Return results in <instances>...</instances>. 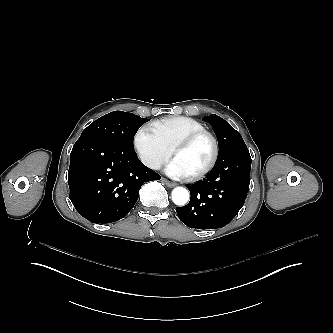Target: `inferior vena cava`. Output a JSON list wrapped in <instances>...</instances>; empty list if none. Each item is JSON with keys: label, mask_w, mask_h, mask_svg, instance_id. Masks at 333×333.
Returning <instances> with one entry per match:
<instances>
[{"label": "inferior vena cava", "mask_w": 333, "mask_h": 333, "mask_svg": "<svg viewBox=\"0 0 333 333\" xmlns=\"http://www.w3.org/2000/svg\"><path fill=\"white\" fill-rule=\"evenodd\" d=\"M161 168V164L156 163L153 165V169H160Z\"/></svg>", "instance_id": "obj_1"}]
</instances>
